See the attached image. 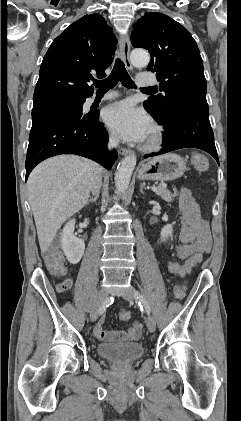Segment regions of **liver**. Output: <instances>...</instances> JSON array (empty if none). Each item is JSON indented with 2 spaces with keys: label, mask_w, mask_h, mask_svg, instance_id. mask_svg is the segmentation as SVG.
Returning a JSON list of instances; mask_svg holds the SVG:
<instances>
[{
  "label": "liver",
  "mask_w": 241,
  "mask_h": 421,
  "mask_svg": "<svg viewBox=\"0 0 241 421\" xmlns=\"http://www.w3.org/2000/svg\"><path fill=\"white\" fill-rule=\"evenodd\" d=\"M100 166L76 155H59L40 163L27 181L38 241L45 253L62 224L88 201ZM102 172V170H101Z\"/></svg>",
  "instance_id": "obj_1"
}]
</instances>
